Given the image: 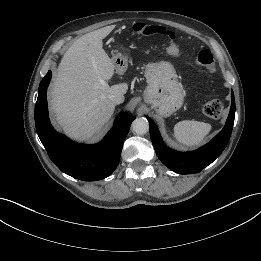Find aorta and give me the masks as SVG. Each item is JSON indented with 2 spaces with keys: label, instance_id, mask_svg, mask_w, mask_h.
<instances>
[{
  "label": "aorta",
  "instance_id": "1",
  "mask_svg": "<svg viewBox=\"0 0 261 261\" xmlns=\"http://www.w3.org/2000/svg\"><path fill=\"white\" fill-rule=\"evenodd\" d=\"M132 130L138 135H143L149 131V123L145 118H137L132 123Z\"/></svg>",
  "mask_w": 261,
  "mask_h": 261
}]
</instances>
